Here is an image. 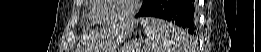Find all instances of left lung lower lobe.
I'll use <instances>...</instances> for the list:
<instances>
[{
	"instance_id": "obj_1",
	"label": "left lung lower lobe",
	"mask_w": 261,
	"mask_h": 52,
	"mask_svg": "<svg viewBox=\"0 0 261 52\" xmlns=\"http://www.w3.org/2000/svg\"><path fill=\"white\" fill-rule=\"evenodd\" d=\"M157 17L168 20L185 29L188 33L196 34V6L194 0H153L135 17Z\"/></svg>"
}]
</instances>
